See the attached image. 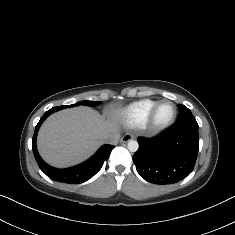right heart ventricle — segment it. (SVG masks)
Returning a JSON list of instances; mask_svg holds the SVG:
<instances>
[{"mask_svg": "<svg viewBox=\"0 0 235 235\" xmlns=\"http://www.w3.org/2000/svg\"><path fill=\"white\" fill-rule=\"evenodd\" d=\"M156 102L153 99L135 101L117 109H109L106 115L110 121L116 124L139 127L148 121L150 112Z\"/></svg>", "mask_w": 235, "mask_h": 235, "instance_id": "1", "label": "right heart ventricle"}]
</instances>
